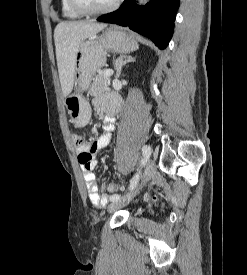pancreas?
Segmentation results:
<instances>
[{"label":"pancreas","instance_id":"cf45deb5","mask_svg":"<svg viewBox=\"0 0 247 275\" xmlns=\"http://www.w3.org/2000/svg\"><path fill=\"white\" fill-rule=\"evenodd\" d=\"M110 78L104 77L102 73H99L93 79V83L91 84L88 93L90 95H97L105 91H109Z\"/></svg>","mask_w":247,"mask_h":275}]
</instances>
